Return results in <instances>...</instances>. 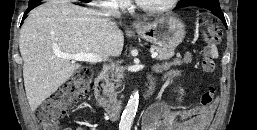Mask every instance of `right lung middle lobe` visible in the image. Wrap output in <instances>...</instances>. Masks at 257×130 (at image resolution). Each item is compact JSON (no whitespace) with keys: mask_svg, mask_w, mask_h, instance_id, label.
<instances>
[{"mask_svg":"<svg viewBox=\"0 0 257 130\" xmlns=\"http://www.w3.org/2000/svg\"><path fill=\"white\" fill-rule=\"evenodd\" d=\"M33 1L30 0L29 4L32 3Z\"/></svg>","mask_w":257,"mask_h":130,"instance_id":"1","label":"right lung middle lobe"}]
</instances>
